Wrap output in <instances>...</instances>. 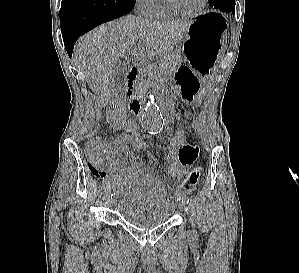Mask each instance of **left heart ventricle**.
I'll list each match as a JSON object with an SVG mask.
<instances>
[{
    "label": "left heart ventricle",
    "instance_id": "left-heart-ventricle-1",
    "mask_svg": "<svg viewBox=\"0 0 299 273\" xmlns=\"http://www.w3.org/2000/svg\"><path fill=\"white\" fill-rule=\"evenodd\" d=\"M174 3L182 10L192 12L201 4L202 0H173Z\"/></svg>",
    "mask_w": 299,
    "mask_h": 273
}]
</instances>
